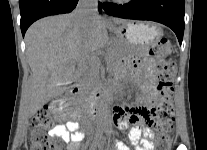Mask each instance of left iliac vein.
Returning a JSON list of instances; mask_svg holds the SVG:
<instances>
[{"mask_svg": "<svg viewBox=\"0 0 207 150\" xmlns=\"http://www.w3.org/2000/svg\"><path fill=\"white\" fill-rule=\"evenodd\" d=\"M100 150H103V147H100Z\"/></svg>", "mask_w": 207, "mask_h": 150, "instance_id": "4c4485c4", "label": "left iliac vein"}]
</instances>
